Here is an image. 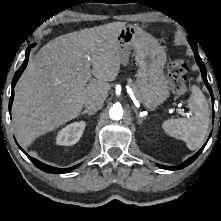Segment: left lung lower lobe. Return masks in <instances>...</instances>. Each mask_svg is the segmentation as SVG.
Here are the masks:
<instances>
[{
    "mask_svg": "<svg viewBox=\"0 0 221 221\" xmlns=\"http://www.w3.org/2000/svg\"><path fill=\"white\" fill-rule=\"evenodd\" d=\"M194 53H195V59L197 61V64L198 66L200 67L201 69V74H202V78H203V81L205 82V85L207 86L212 98H213V93H212V89H211V86L210 84L208 83L207 81V75H206V67L204 65V63L202 62L199 54H198V51L197 49L193 50ZM207 143V142H206ZM205 143V145H206ZM205 145L195 154L193 155L192 157H190L188 160H186L183 164H181L180 166H177V167H169V166H165V165H158L160 168H163V169H167V170H178V169H182L186 166H188L189 164H191L198 156L199 154L202 152L203 148L205 147Z\"/></svg>",
    "mask_w": 221,
    "mask_h": 221,
    "instance_id": "left-lung-lower-lobe-1",
    "label": "left lung lower lobe"
}]
</instances>
